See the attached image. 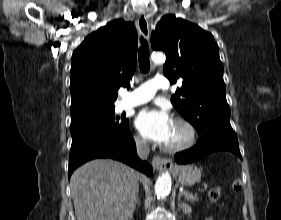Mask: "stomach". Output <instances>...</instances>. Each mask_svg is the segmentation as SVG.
I'll return each mask as SVG.
<instances>
[{"instance_id":"stomach-1","label":"stomach","mask_w":281,"mask_h":220,"mask_svg":"<svg viewBox=\"0 0 281 220\" xmlns=\"http://www.w3.org/2000/svg\"><path fill=\"white\" fill-rule=\"evenodd\" d=\"M178 180L181 185L191 186L201 179V170L195 165H182L175 168Z\"/></svg>"}]
</instances>
